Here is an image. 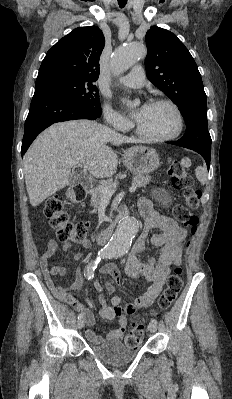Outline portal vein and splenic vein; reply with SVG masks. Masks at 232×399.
Instances as JSON below:
<instances>
[{"instance_id": "18ae733b", "label": "portal vein and splenic vein", "mask_w": 232, "mask_h": 399, "mask_svg": "<svg viewBox=\"0 0 232 399\" xmlns=\"http://www.w3.org/2000/svg\"><path fill=\"white\" fill-rule=\"evenodd\" d=\"M70 168H73V166H82V164H79V162H74V160H71V162H68ZM86 174V172H84ZM89 180H92V176H89ZM136 186H132V188H129V192H135ZM103 194H106L105 198H111L113 194H115V190H108V188H103L102 190Z\"/></svg>"}]
</instances>
